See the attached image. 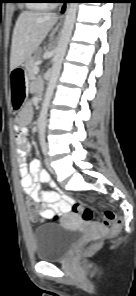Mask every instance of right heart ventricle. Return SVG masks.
Returning <instances> with one entry per match:
<instances>
[{
	"mask_svg": "<svg viewBox=\"0 0 136 296\" xmlns=\"http://www.w3.org/2000/svg\"><path fill=\"white\" fill-rule=\"evenodd\" d=\"M28 5L33 9H46L48 7L45 0H33V2Z\"/></svg>",
	"mask_w": 136,
	"mask_h": 296,
	"instance_id": "right-heart-ventricle-1",
	"label": "right heart ventricle"
}]
</instances>
